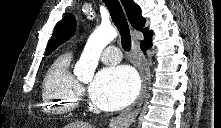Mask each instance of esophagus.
Masks as SVG:
<instances>
[{
	"label": "esophagus",
	"instance_id": "1",
	"mask_svg": "<svg viewBox=\"0 0 221 128\" xmlns=\"http://www.w3.org/2000/svg\"><path fill=\"white\" fill-rule=\"evenodd\" d=\"M132 54L134 57V62L136 63L141 75V90L133 104L123 110L116 118L111 119L109 125L112 128H127L129 125H131L135 121L146 96L149 83L148 68L145 58L141 52L138 38L134 35L133 32Z\"/></svg>",
	"mask_w": 221,
	"mask_h": 128
}]
</instances>
